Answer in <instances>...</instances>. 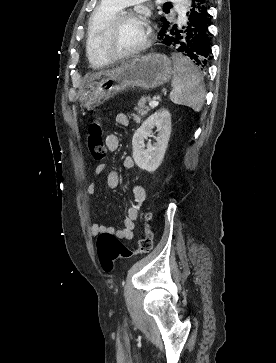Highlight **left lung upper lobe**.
<instances>
[{"label": "left lung upper lobe", "instance_id": "left-lung-upper-lobe-1", "mask_svg": "<svg viewBox=\"0 0 276 363\" xmlns=\"http://www.w3.org/2000/svg\"><path fill=\"white\" fill-rule=\"evenodd\" d=\"M162 26L168 25L170 22L166 20V18H161Z\"/></svg>", "mask_w": 276, "mask_h": 363}]
</instances>
